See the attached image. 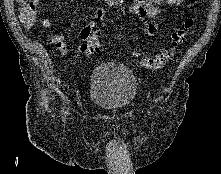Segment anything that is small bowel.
I'll list each match as a JSON object with an SVG mask.
<instances>
[{
	"mask_svg": "<svg viewBox=\"0 0 221 174\" xmlns=\"http://www.w3.org/2000/svg\"><path fill=\"white\" fill-rule=\"evenodd\" d=\"M183 1L184 0H134L130 4L128 11L140 19L143 30L147 35L154 36L158 31V25L155 19L164 9L177 7L181 5ZM104 16L105 9L103 7H98L94 12L92 20L88 22L82 30H93L96 24L102 21ZM42 24L45 28V34L49 43L54 45L63 57L68 58L65 34L51 33L50 30L53 29V25L47 19H42Z\"/></svg>",
	"mask_w": 221,
	"mask_h": 174,
	"instance_id": "obj_1",
	"label": "small bowel"
}]
</instances>
